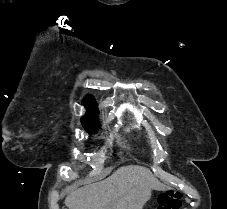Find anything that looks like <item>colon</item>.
<instances>
[{
  "mask_svg": "<svg viewBox=\"0 0 227 209\" xmlns=\"http://www.w3.org/2000/svg\"><path fill=\"white\" fill-rule=\"evenodd\" d=\"M182 195L173 190L164 191L159 195L157 209H180Z\"/></svg>",
  "mask_w": 227,
  "mask_h": 209,
  "instance_id": "5ec220e1",
  "label": "colon"
}]
</instances>
